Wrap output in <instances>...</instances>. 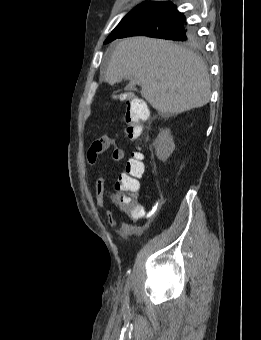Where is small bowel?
Returning <instances> with one entry per match:
<instances>
[{"mask_svg": "<svg viewBox=\"0 0 261 340\" xmlns=\"http://www.w3.org/2000/svg\"><path fill=\"white\" fill-rule=\"evenodd\" d=\"M112 145V140L108 136H101L95 140L88 148L86 153V161L89 165H94L98 156L107 151ZM125 157V152L121 148H114L111 154L113 163L121 162ZM106 187V177H100L95 184V196L98 207L104 212L108 222L117 228L118 234L123 238H128L132 235L139 234L144 230V225L141 220L146 214L141 206L142 212L137 215L129 214L130 222L118 221L113 213L105 209L104 192Z\"/></svg>", "mask_w": 261, "mask_h": 340, "instance_id": "small-bowel-1", "label": "small bowel"}]
</instances>
